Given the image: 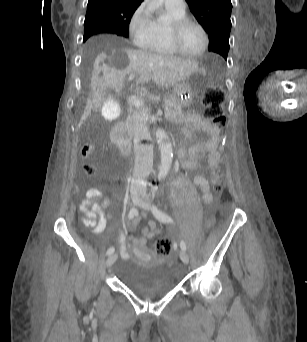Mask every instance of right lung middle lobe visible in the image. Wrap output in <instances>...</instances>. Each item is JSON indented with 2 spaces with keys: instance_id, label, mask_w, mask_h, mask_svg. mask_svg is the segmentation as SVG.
Returning <instances> with one entry per match:
<instances>
[{
  "instance_id": "obj_1",
  "label": "right lung middle lobe",
  "mask_w": 307,
  "mask_h": 342,
  "mask_svg": "<svg viewBox=\"0 0 307 342\" xmlns=\"http://www.w3.org/2000/svg\"><path fill=\"white\" fill-rule=\"evenodd\" d=\"M102 32H111L120 36L128 37V31L109 29L99 24L95 17L86 15L84 22V41H86L90 36Z\"/></svg>"
}]
</instances>
